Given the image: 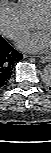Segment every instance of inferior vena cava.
Instances as JSON below:
<instances>
[{
    "instance_id": "obj_1",
    "label": "inferior vena cava",
    "mask_w": 51,
    "mask_h": 153,
    "mask_svg": "<svg viewBox=\"0 0 51 153\" xmlns=\"http://www.w3.org/2000/svg\"><path fill=\"white\" fill-rule=\"evenodd\" d=\"M9 36L12 38L14 36V33H11Z\"/></svg>"
}]
</instances>
